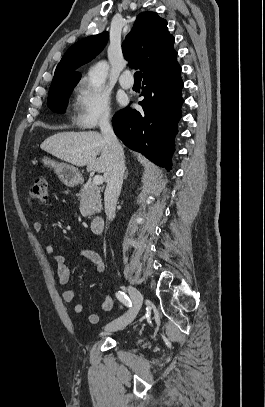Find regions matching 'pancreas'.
<instances>
[{
  "label": "pancreas",
  "mask_w": 265,
  "mask_h": 407,
  "mask_svg": "<svg viewBox=\"0 0 265 407\" xmlns=\"http://www.w3.org/2000/svg\"><path fill=\"white\" fill-rule=\"evenodd\" d=\"M80 212L85 217H90L95 212L102 209V199L100 189L92 182H87L81 188L80 194Z\"/></svg>",
  "instance_id": "cf45deb5"
}]
</instances>
